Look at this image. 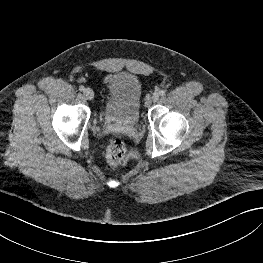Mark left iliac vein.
Returning a JSON list of instances; mask_svg holds the SVG:
<instances>
[{
	"label": "left iliac vein",
	"instance_id": "4c4485c4",
	"mask_svg": "<svg viewBox=\"0 0 263 263\" xmlns=\"http://www.w3.org/2000/svg\"><path fill=\"white\" fill-rule=\"evenodd\" d=\"M159 97H160L159 92H154V93L152 94L151 99H152L153 102H156V101L159 99Z\"/></svg>",
	"mask_w": 263,
	"mask_h": 263
}]
</instances>
